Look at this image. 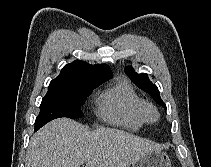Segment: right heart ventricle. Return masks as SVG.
<instances>
[{
	"label": "right heart ventricle",
	"mask_w": 211,
	"mask_h": 167,
	"mask_svg": "<svg viewBox=\"0 0 211 167\" xmlns=\"http://www.w3.org/2000/svg\"><path fill=\"white\" fill-rule=\"evenodd\" d=\"M144 105L132 85L120 79L100 94L98 115L106 122L136 130L146 122Z\"/></svg>",
	"instance_id": "right-heart-ventricle-1"
}]
</instances>
